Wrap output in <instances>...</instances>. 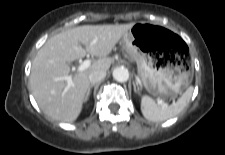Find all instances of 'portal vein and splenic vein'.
Returning a JSON list of instances; mask_svg holds the SVG:
<instances>
[{
  "mask_svg": "<svg viewBox=\"0 0 225 155\" xmlns=\"http://www.w3.org/2000/svg\"><path fill=\"white\" fill-rule=\"evenodd\" d=\"M90 65H91V61L89 59H86L79 65V67L77 68V71L82 72L86 70ZM62 79H64L69 86L72 85V75L64 76ZM157 102L161 107H167V104L163 100L158 99Z\"/></svg>",
  "mask_w": 225,
  "mask_h": 155,
  "instance_id": "portal-vein-and-splenic-vein-1",
  "label": "portal vein and splenic vein"
}]
</instances>
